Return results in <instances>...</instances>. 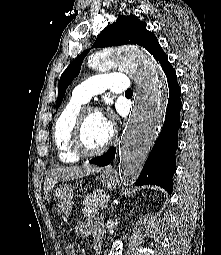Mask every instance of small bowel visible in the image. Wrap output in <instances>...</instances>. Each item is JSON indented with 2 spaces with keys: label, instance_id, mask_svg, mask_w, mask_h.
<instances>
[{
  "label": "small bowel",
  "instance_id": "obj_1",
  "mask_svg": "<svg viewBox=\"0 0 221 255\" xmlns=\"http://www.w3.org/2000/svg\"><path fill=\"white\" fill-rule=\"evenodd\" d=\"M74 232L78 237L92 236L102 238L104 236V227L102 222L96 218L91 217L85 221H79L74 227ZM67 255H75V248L73 245H68L66 248Z\"/></svg>",
  "mask_w": 221,
  "mask_h": 255
}]
</instances>
